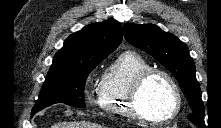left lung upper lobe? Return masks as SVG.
<instances>
[{
	"label": "left lung upper lobe",
	"mask_w": 221,
	"mask_h": 128,
	"mask_svg": "<svg viewBox=\"0 0 221 128\" xmlns=\"http://www.w3.org/2000/svg\"><path fill=\"white\" fill-rule=\"evenodd\" d=\"M124 35L129 43L153 56L173 74L193 110L187 116L188 120L200 128L205 127L201 91L195 77V64L187 45L153 24L126 23Z\"/></svg>",
	"instance_id": "1"
}]
</instances>
